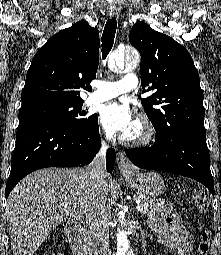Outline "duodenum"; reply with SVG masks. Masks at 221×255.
<instances>
[{
  "label": "duodenum",
  "instance_id": "410a0bca",
  "mask_svg": "<svg viewBox=\"0 0 221 255\" xmlns=\"http://www.w3.org/2000/svg\"><path fill=\"white\" fill-rule=\"evenodd\" d=\"M66 233L69 244L76 255H95L85 240V235L78 219L73 218L68 221L66 224Z\"/></svg>",
  "mask_w": 221,
  "mask_h": 255
}]
</instances>
